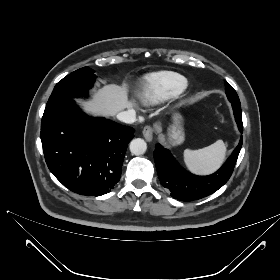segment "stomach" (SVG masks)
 <instances>
[{
    "mask_svg": "<svg viewBox=\"0 0 280 280\" xmlns=\"http://www.w3.org/2000/svg\"><path fill=\"white\" fill-rule=\"evenodd\" d=\"M181 120V116L179 114H175L174 124L168 130V142L172 146L180 145L185 139Z\"/></svg>",
    "mask_w": 280,
    "mask_h": 280,
    "instance_id": "0dacf381",
    "label": "stomach"
}]
</instances>
